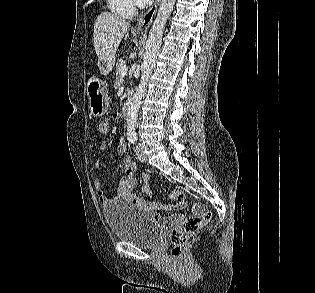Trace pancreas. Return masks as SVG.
<instances>
[{
    "label": "pancreas",
    "mask_w": 315,
    "mask_h": 293,
    "mask_svg": "<svg viewBox=\"0 0 315 293\" xmlns=\"http://www.w3.org/2000/svg\"><path fill=\"white\" fill-rule=\"evenodd\" d=\"M125 65L124 61H119L117 67H116V82L115 86H120L123 81V76L121 75V69Z\"/></svg>",
    "instance_id": "cf45deb5"
}]
</instances>
